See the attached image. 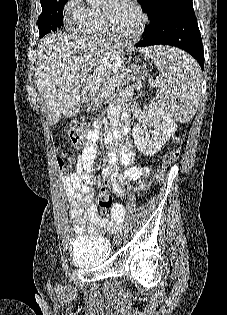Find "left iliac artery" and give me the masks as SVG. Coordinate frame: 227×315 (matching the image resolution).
I'll use <instances>...</instances> for the list:
<instances>
[{"mask_svg":"<svg viewBox=\"0 0 227 315\" xmlns=\"http://www.w3.org/2000/svg\"><path fill=\"white\" fill-rule=\"evenodd\" d=\"M125 230V226L122 224L120 227H119V233L122 234Z\"/></svg>","mask_w":227,"mask_h":315,"instance_id":"44dca946","label":"left iliac artery"}]
</instances>
